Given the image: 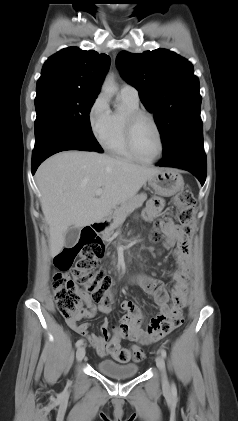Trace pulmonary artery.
<instances>
[{"label":"pulmonary artery","mask_w":238,"mask_h":421,"mask_svg":"<svg viewBox=\"0 0 238 421\" xmlns=\"http://www.w3.org/2000/svg\"><path fill=\"white\" fill-rule=\"evenodd\" d=\"M120 96L135 103L139 102V94L137 89L129 84H123L121 86Z\"/></svg>","instance_id":"pulmonary-artery-1"}]
</instances>
